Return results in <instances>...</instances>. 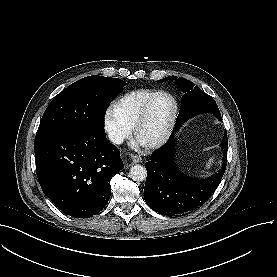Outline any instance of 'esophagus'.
I'll return each instance as SVG.
<instances>
[{
  "mask_svg": "<svg viewBox=\"0 0 277 277\" xmlns=\"http://www.w3.org/2000/svg\"><path fill=\"white\" fill-rule=\"evenodd\" d=\"M132 164L140 163L142 161V158L136 154H132Z\"/></svg>",
  "mask_w": 277,
  "mask_h": 277,
  "instance_id": "esophagus-1",
  "label": "esophagus"
}]
</instances>
